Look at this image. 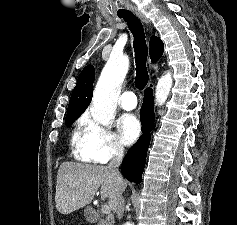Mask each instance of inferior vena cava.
Returning a JSON list of instances; mask_svg holds the SVG:
<instances>
[{
    "mask_svg": "<svg viewBox=\"0 0 237 225\" xmlns=\"http://www.w3.org/2000/svg\"><path fill=\"white\" fill-rule=\"evenodd\" d=\"M123 154H124L123 146H121L118 143H115L113 145V157H112L109 165L107 166L111 170L113 176L115 177L116 181L119 184L123 183V178H122V176L119 172V169H118L121 162H122ZM124 206H125V201H124V198L122 197V195L120 194L118 201H117V208H116V214H117L118 219H120L123 215Z\"/></svg>",
    "mask_w": 237,
    "mask_h": 225,
    "instance_id": "1",
    "label": "inferior vena cava"
}]
</instances>
